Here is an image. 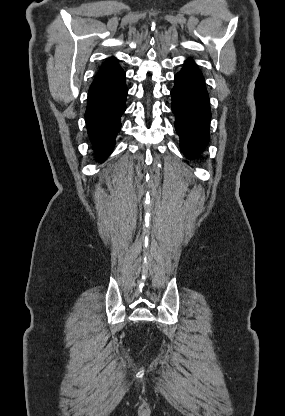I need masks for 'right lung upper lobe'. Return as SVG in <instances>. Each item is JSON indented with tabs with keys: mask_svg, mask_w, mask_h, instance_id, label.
Here are the masks:
<instances>
[{
	"mask_svg": "<svg viewBox=\"0 0 285 416\" xmlns=\"http://www.w3.org/2000/svg\"><path fill=\"white\" fill-rule=\"evenodd\" d=\"M124 71L117 63V60L114 58H109L99 69L93 83L90 87L98 86L104 84L117 76L121 75Z\"/></svg>",
	"mask_w": 285,
	"mask_h": 416,
	"instance_id": "cb5924a9",
	"label": "right lung upper lobe"
}]
</instances>
